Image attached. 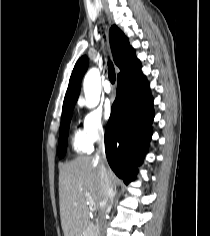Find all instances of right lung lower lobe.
I'll return each mask as SVG.
<instances>
[{
    "instance_id": "98d812e1",
    "label": "right lung lower lobe",
    "mask_w": 210,
    "mask_h": 236,
    "mask_svg": "<svg viewBox=\"0 0 210 236\" xmlns=\"http://www.w3.org/2000/svg\"><path fill=\"white\" fill-rule=\"evenodd\" d=\"M140 66L117 78V95L105 130L108 163L126 184L134 180L152 136L153 98Z\"/></svg>"
}]
</instances>
